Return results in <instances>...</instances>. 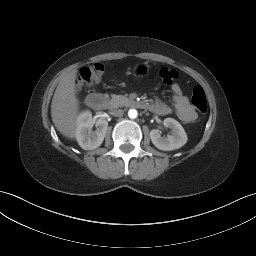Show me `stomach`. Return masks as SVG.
<instances>
[{
    "instance_id": "obj_1",
    "label": "stomach",
    "mask_w": 256,
    "mask_h": 256,
    "mask_svg": "<svg viewBox=\"0 0 256 256\" xmlns=\"http://www.w3.org/2000/svg\"><path fill=\"white\" fill-rule=\"evenodd\" d=\"M149 71V67L147 65H143V64H139L137 66H135L134 70H133V74L136 77H141L144 76L148 73Z\"/></svg>"
}]
</instances>
